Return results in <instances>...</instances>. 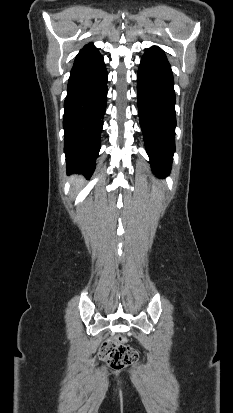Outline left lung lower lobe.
Here are the masks:
<instances>
[{
    "mask_svg": "<svg viewBox=\"0 0 233 413\" xmlns=\"http://www.w3.org/2000/svg\"><path fill=\"white\" fill-rule=\"evenodd\" d=\"M171 66L157 46L143 55L138 69L140 125L153 172L169 174L175 151V92Z\"/></svg>",
    "mask_w": 233,
    "mask_h": 413,
    "instance_id": "1",
    "label": "left lung lower lobe"
}]
</instances>
